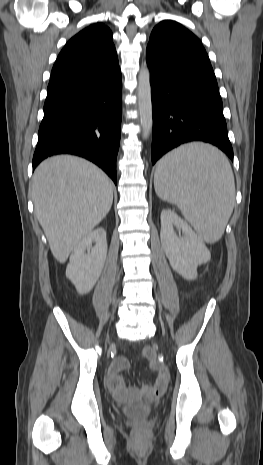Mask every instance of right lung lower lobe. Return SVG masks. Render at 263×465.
I'll return each instance as SVG.
<instances>
[{"label": "right lung lower lobe", "mask_w": 263, "mask_h": 465, "mask_svg": "<svg viewBox=\"0 0 263 465\" xmlns=\"http://www.w3.org/2000/svg\"><path fill=\"white\" fill-rule=\"evenodd\" d=\"M121 118V71L47 90L33 169L48 156L74 154L97 164L116 183Z\"/></svg>", "instance_id": "obj_1"}]
</instances>
